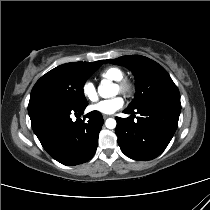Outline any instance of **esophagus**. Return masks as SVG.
I'll return each instance as SVG.
<instances>
[{"label": "esophagus", "instance_id": "1", "mask_svg": "<svg viewBox=\"0 0 210 210\" xmlns=\"http://www.w3.org/2000/svg\"><path fill=\"white\" fill-rule=\"evenodd\" d=\"M109 117H110L109 115H103V119H107Z\"/></svg>", "mask_w": 210, "mask_h": 210}]
</instances>
